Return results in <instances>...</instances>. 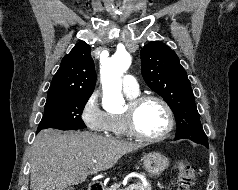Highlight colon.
<instances>
[{
	"mask_svg": "<svg viewBox=\"0 0 238 190\" xmlns=\"http://www.w3.org/2000/svg\"><path fill=\"white\" fill-rule=\"evenodd\" d=\"M177 190H191L196 179V170L186 161L176 163Z\"/></svg>",
	"mask_w": 238,
	"mask_h": 190,
	"instance_id": "colon-1",
	"label": "colon"
}]
</instances>
